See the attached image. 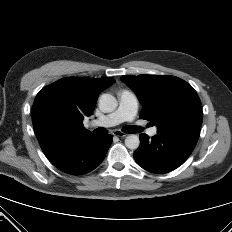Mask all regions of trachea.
<instances>
[{
	"mask_svg": "<svg viewBox=\"0 0 232 232\" xmlns=\"http://www.w3.org/2000/svg\"><path fill=\"white\" fill-rule=\"evenodd\" d=\"M141 127L138 126H125L122 131L125 133H139L141 132ZM107 130L105 128H97L95 134H106Z\"/></svg>",
	"mask_w": 232,
	"mask_h": 232,
	"instance_id": "1",
	"label": "trachea"
}]
</instances>
